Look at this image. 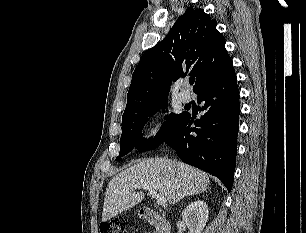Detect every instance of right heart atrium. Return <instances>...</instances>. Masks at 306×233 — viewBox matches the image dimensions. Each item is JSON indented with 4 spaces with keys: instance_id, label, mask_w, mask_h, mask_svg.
I'll use <instances>...</instances> for the list:
<instances>
[{
    "instance_id": "obj_1",
    "label": "right heart atrium",
    "mask_w": 306,
    "mask_h": 233,
    "mask_svg": "<svg viewBox=\"0 0 306 233\" xmlns=\"http://www.w3.org/2000/svg\"><path fill=\"white\" fill-rule=\"evenodd\" d=\"M166 126V121L163 117L157 116L153 118L147 128V138L151 141L158 139Z\"/></svg>"
}]
</instances>
